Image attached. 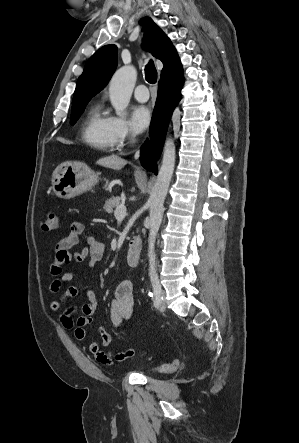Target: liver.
<instances>
[{
	"mask_svg": "<svg viewBox=\"0 0 299 443\" xmlns=\"http://www.w3.org/2000/svg\"><path fill=\"white\" fill-rule=\"evenodd\" d=\"M97 164L106 168L117 170L124 167L126 165V161L119 156L112 154L110 156L100 158L97 161Z\"/></svg>",
	"mask_w": 299,
	"mask_h": 443,
	"instance_id": "6515ba94",
	"label": "liver"
}]
</instances>
